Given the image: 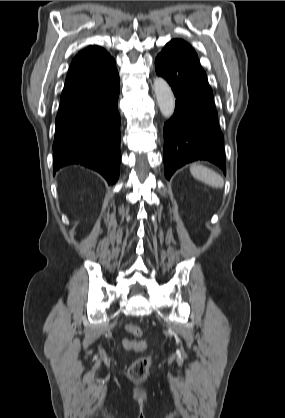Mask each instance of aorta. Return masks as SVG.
Masks as SVG:
<instances>
[{
    "label": "aorta",
    "mask_w": 285,
    "mask_h": 418,
    "mask_svg": "<svg viewBox=\"0 0 285 418\" xmlns=\"http://www.w3.org/2000/svg\"><path fill=\"white\" fill-rule=\"evenodd\" d=\"M154 92L162 115L170 118L175 110V98L171 87L165 79L156 77L154 79Z\"/></svg>",
    "instance_id": "aorta-1"
}]
</instances>
